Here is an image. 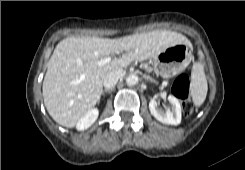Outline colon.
<instances>
[{
	"label": "colon",
	"instance_id": "colon-1",
	"mask_svg": "<svg viewBox=\"0 0 245 170\" xmlns=\"http://www.w3.org/2000/svg\"><path fill=\"white\" fill-rule=\"evenodd\" d=\"M171 91L174 96L181 100L184 116H190L193 112V104L189 100V78L186 73H181L175 78Z\"/></svg>",
	"mask_w": 245,
	"mask_h": 170
}]
</instances>
